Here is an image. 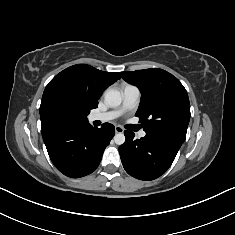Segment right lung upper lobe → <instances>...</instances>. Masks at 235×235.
<instances>
[{
	"label": "right lung upper lobe",
	"instance_id": "1",
	"mask_svg": "<svg viewBox=\"0 0 235 235\" xmlns=\"http://www.w3.org/2000/svg\"><path fill=\"white\" fill-rule=\"evenodd\" d=\"M120 79L116 72L100 71L86 64H77L57 74L46 86L43 97L53 91L62 92L86 115L98 106L102 92ZM44 129V128H42Z\"/></svg>",
	"mask_w": 235,
	"mask_h": 235
}]
</instances>
